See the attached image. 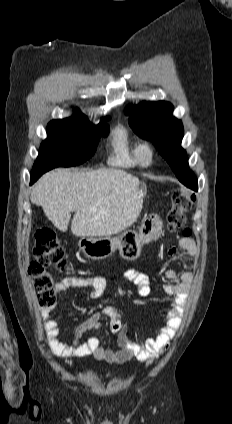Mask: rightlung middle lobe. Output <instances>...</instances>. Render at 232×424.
Instances as JSON below:
<instances>
[{"label": "right lung middle lobe", "instance_id": "1", "mask_svg": "<svg viewBox=\"0 0 232 424\" xmlns=\"http://www.w3.org/2000/svg\"><path fill=\"white\" fill-rule=\"evenodd\" d=\"M108 128L103 122L95 126L87 119L73 116L52 120L47 126V139L41 144L31 177H40L55 167L85 162L94 155L99 137L106 136Z\"/></svg>", "mask_w": 232, "mask_h": 424}]
</instances>
